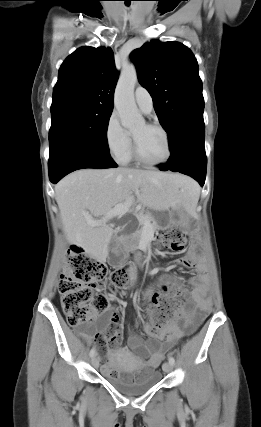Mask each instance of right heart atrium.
<instances>
[{"mask_svg":"<svg viewBox=\"0 0 261 427\" xmlns=\"http://www.w3.org/2000/svg\"><path fill=\"white\" fill-rule=\"evenodd\" d=\"M104 137L109 153L119 162L128 156L132 140L130 133L121 125L116 112H112L107 119Z\"/></svg>","mask_w":261,"mask_h":427,"instance_id":"obj_1","label":"right heart atrium"}]
</instances>
